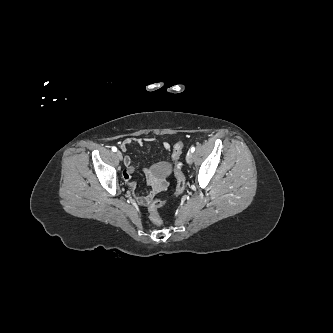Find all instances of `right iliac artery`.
<instances>
[{"label": "right iliac artery", "instance_id": "right-iliac-artery-1", "mask_svg": "<svg viewBox=\"0 0 333 333\" xmlns=\"http://www.w3.org/2000/svg\"><path fill=\"white\" fill-rule=\"evenodd\" d=\"M112 151L113 152H116L117 151V148L114 146V147H112Z\"/></svg>", "mask_w": 333, "mask_h": 333}]
</instances>
